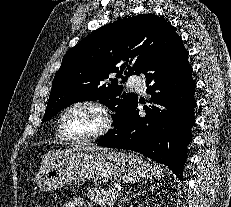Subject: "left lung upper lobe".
<instances>
[{
  "label": "left lung upper lobe",
  "mask_w": 231,
  "mask_h": 207,
  "mask_svg": "<svg viewBox=\"0 0 231 207\" xmlns=\"http://www.w3.org/2000/svg\"><path fill=\"white\" fill-rule=\"evenodd\" d=\"M178 38L172 25L155 14L123 18L94 31L64 55L42 123L75 102L99 100L116 112V129L138 99L123 92L119 83L131 74H140ZM112 73H117V78H111Z\"/></svg>",
  "instance_id": "obj_1"
}]
</instances>
